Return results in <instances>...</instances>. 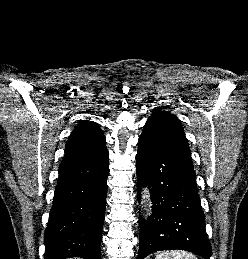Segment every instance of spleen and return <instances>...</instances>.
I'll return each mask as SVG.
<instances>
[{
  "instance_id": "1",
  "label": "spleen",
  "mask_w": 248,
  "mask_h": 259,
  "mask_svg": "<svg viewBox=\"0 0 248 259\" xmlns=\"http://www.w3.org/2000/svg\"><path fill=\"white\" fill-rule=\"evenodd\" d=\"M155 259H197V257L187 251L170 250L157 254Z\"/></svg>"
}]
</instances>
